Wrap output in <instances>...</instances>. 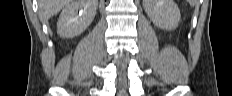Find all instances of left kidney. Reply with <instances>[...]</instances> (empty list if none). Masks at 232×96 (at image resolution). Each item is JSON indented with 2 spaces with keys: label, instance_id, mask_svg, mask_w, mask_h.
Returning <instances> with one entry per match:
<instances>
[{
  "label": "left kidney",
  "instance_id": "1",
  "mask_svg": "<svg viewBox=\"0 0 232 96\" xmlns=\"http://www.w3.org/2000/svg\"><path fill=\"white\" fill-rule=\"evenodd\" d=\"M143 7L157 27L173 30L178 26L181 14L173 0H143Z\"/></svg>",
  "mask_w": 232,
  "mask_h": 96
}]
</instances>
